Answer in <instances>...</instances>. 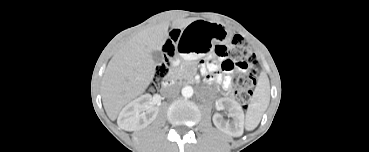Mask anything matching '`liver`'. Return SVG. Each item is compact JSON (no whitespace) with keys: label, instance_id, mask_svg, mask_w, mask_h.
Instances as JSON below:
<instances>
[{"label":"liver","instance_id":"obj_1","mask_svg":"<svg viewBox=\"0 0 369 152\" xmlns=\"http://www.w3.org/2000/svg\"><path fill=\"white\" fill-rule=\"evenodd\" d=\"M168 26L163 22L140 31L109 62L102 86L103 105L112 121L125 101L142 94L152 83L156 71L153 55L163 51Z\"/></svg>","mask_w":369,"mask_h":152}]
</instances>
